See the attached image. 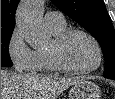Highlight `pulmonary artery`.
Returning <instances> with one entry per match:
<instances>
[{"instance_id":"1","label":"pulmonary artery","mask_w":115,"mask_h":99,"mask_svg":"<svg viewBox=\"0 0 115 99\" xmlns=\"http://www.w3.org/2000/svg\"><path fill=\"white\" fill-rule=\"evenodd\" d=\"M45 22L47 25H61L65 23V19L61 12L49 11L45 14Z\"/></svg>"}]
</instances>
